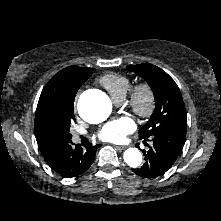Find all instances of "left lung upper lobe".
I'll use <instances>...</instances> for the list:
<instances>
[{"label": "left lung upper lobe", "mask_w": 221, "mask_h": 221, "mask_svg": "<svg viewBox=\"0 0 221 221\" xmlns=\"http://www.w3.org/2000/svg\"><path fill=\"white\" fill-rule=\"evenodd\" d=\"M127 68L148 82L155 97V110L139 130V138L148 139L160 132H186V109L175 81L162 69L149 63L129 65Z\"/></svg>", "instance_id": "5c2ea615"}]
</instances>
